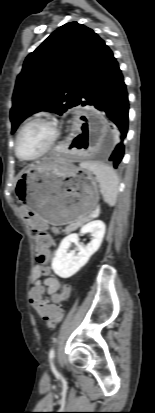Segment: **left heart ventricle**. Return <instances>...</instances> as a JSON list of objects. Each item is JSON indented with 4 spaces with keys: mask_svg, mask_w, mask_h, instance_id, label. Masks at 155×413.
Listing matches in <instances>:
<instances>
[{
    "mask_svg": "<svg viewBox=\"0 0 155 413\" xmlns=\"http://www.w3.org/2000/svg\"><path fill=\"white\" fill-rule=\"evenodd\" d=\"M53 137V128L50 124L37 121L27 126L20 137L19 151L24 157H33L41 153Z\"/></svg>",
    "mask_w": 155,
    "mask_h": 413,
    "instance_id": "left-heart-ventricle-1",
    "label": "left heart ventricle"
}]
</instances>
